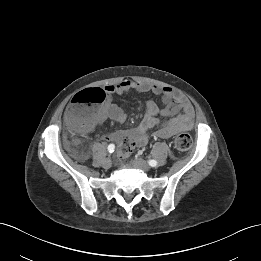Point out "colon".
<instances>
[{
  "label": "colon",
  "instance_id": "1",
  "mask_svg": "<svg viewBox=\"0 0 261 261\" xmlns=\"http://www.w3.org/2000/svg\"><path fill=\"white\" fill-rule=\"evenodd\" d=\"M106 98L105 92L100 88H93L77 94L67 107L68 123L72 131L81 134L87 131L92 123V114ZM175 148L184 152L190 149L192 139L187 133H180L174 140ZM134 149L131 139L123 140L119 147V154L127 156Z\"/></svg>",
  "mask_w": 261,
  "mask_h": 261
}]
</instances>
